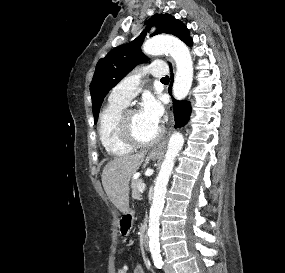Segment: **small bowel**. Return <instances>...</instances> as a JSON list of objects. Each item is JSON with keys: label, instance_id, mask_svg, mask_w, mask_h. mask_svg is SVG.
<instances>
[{"label": "small bowel", "instance_id": "obj_1", "mask_svg": "<svg viewBox=\"0 0 285 273\" xmlns=\"http://www.w3.org/2000/svg\"><path fill=\"white\" fill-rule=\"evenodd\" d=\"M127 270V269H126ZM126 273H130L128 270ZM132 273H145V269L143 267V265L139 262H137L135 265H134V268H133V271Z\"/></svg>", "mask_w": 285, "mask_h": 273}]
</instances>
